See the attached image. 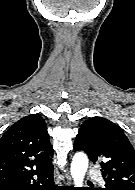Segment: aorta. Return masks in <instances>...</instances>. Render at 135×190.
I'll list each match as a JSON object with an SVG mask.
<instances>
[{
	"label": "aorta",
	"mask_w": 135,
	"mask_h": 190,
	"mask_svg": "<svg viewBox=\"0 0 135 190\" xmlns=\"http://www.w3.org/2000/svg\"><path fill=\"white\" fill-rule=\"evenodd\" d=\"M88 168V158L84 153H76L71 163V176L76 187H82Z\"/></svg>",
	"instance_id": "1"
}]
</instances>
